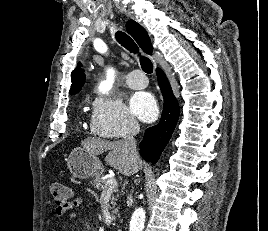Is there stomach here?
I'll return each mask as SVG.
<instances>
[{
	"instance_id": "stomach-1",
	"label": "stomach",
	"mask_w": 268,
	"mask_h": 231,
	"mask_svg": "<svg viewBox=\"0 0 268 231\" xmlns=\"http://www.w3.org/2000/svg\"><path fill=\"white\" fill-rule=\"evenodd\" d=\"M67 166L72 175L79 179L100 177L103 172L98 157L84 147H76L70 152Z\"/></svg>"
}]
</instances>
